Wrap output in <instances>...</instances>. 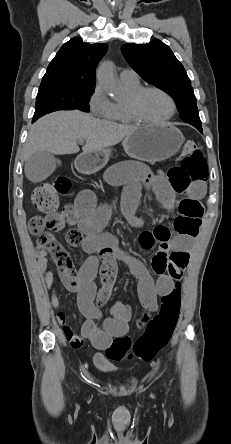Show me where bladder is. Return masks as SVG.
<instances>
[{
	"label": "bladder",
	"instance_id": "1",
	"mask_svg": "<svg viewBox=\"0 0 231 444\" xmlns=\"http://www.w3.org/2000/svg\"><path fill=\"white\" fill-rule=\"evenodd\" d=\"M94 364H95L96 368L102 373H108L114 369V367L110 363L109 359L100 353H97L94 356Z\"/></svg>",
	"mask_w": 231,
	"mask_h": 444
}]
</instances>
